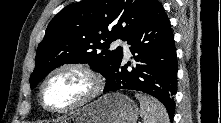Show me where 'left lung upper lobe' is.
<instances>
[{
	"instance_id": "obj_1",
	"label": "left lung upper lobe",
	"mask_w": 221,
	"mask_h": 123,
	"mask_svg": "<svg viewBox=\"0 0 221 123\" xmlns=\"http://www.w3.org/2000/svg\"><path fill=\"white\" fill-rule=\"evenodd\" d=\"M157 0H82L63 8L49 23L36 52L31 89L63 64L88 63L105 78L122 54L110 43L129 36Z\"/></svg>"
}]
</instances>
